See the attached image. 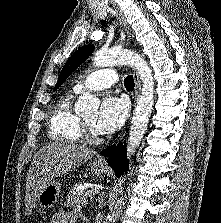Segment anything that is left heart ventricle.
<instances>
[{"mask_svg":"<svg viewBox=\"0 0 221 223\" xmlns=\"http://www.w3.org/2000/svg\"><path fill=\"white\" fill-rule=\"evenodd\" d=\"M84 119L86 120V122L91 125L94 129H95V122H96V119H97V114L96 112L92 113V114H89L87 116L84 117ZM96 131V129H95Z\"/></svg>","mask_w":221,"mask_h":223,"instance_id":"obj_1","label":"left heart ventricle"}]
</instances>
